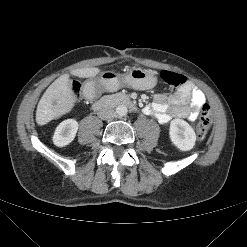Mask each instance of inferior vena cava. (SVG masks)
I'll list each match as a JSON object with an SVG mask.
<instances>
[{
	"label": "inferior vena cava",
	"mask_w": 247,
	"mask_h": 247,
	"mask_svg": "<svg viewBox=\"0 0 247 247\" xmlns=\"http://www.w3.org/2000/svg\"><path fill=\"white\" fill-rule=\"evenodd\" d=\"M115 115L116 112L112 108H102L98 112V116L102 120H112Z\"/></svg>",
	"instance_id": "inferior-vena-cava-1"
}]
</instances>
